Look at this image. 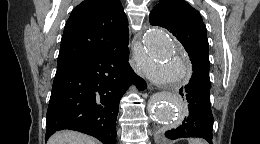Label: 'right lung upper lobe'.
<instances>
[{"label": "right lung upper lobe", "mask_w": 260, "mask_h": 144, "mask_svg": "<svg viewBox=\"0 0 260 144\" xmlns=\"http://www.w3.org/2000/svg\"><path fill=\"white\" fill-rule=\"evenodd\" d=\"M128 20L119 0H85L71 13L57 65L128 45Z\"/></svg>", "instance_id": "cb5924a9"}]
</instances>
